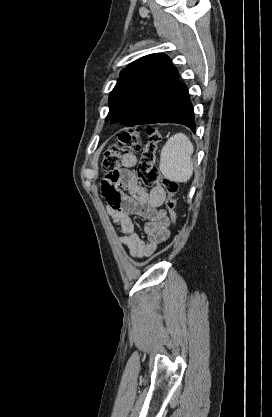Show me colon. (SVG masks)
Returning a JSON list of instances; mask_svg holds the SVG:
<instances>
[{
    "label": "colon",
    "instance_id": "colon-1",
    "mask_svg": "<svg viewBox=\"0 0 272 417\" xmlns=\"http://www.w3.org/2000/svg\"><path fill=\"white\" fill-rule=\"evenodd\" d=\"M148 140L143 148L139 172L143 182L146 185H158L164 189L167 194L165 208L171 225L176 221V199L178 184L164 177L156 166V154L158 146L162 140L161 133L155 127L146 129ZM141 149V139L139 132L136 130H126L121 132L116 143L110 146L104 153L102 169L109 173L117 172L124 155L139 151Z\"/></svg>",
    "mask_w": 272,
    "mask_h": 417
}]
</instances>
